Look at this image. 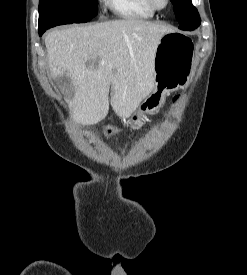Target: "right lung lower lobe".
<instances>
[{
	"label": "right lung lower lobe",
	"mask_w": 247,
	"mask_h": 275,
	"mask_svg": "<svg viewBox=\"0 0 247 275\" xmlns=\"http://www.w3.org/2000/svg\"><path fill=\"white\" fill-rule=\"evenodd\" d=\"M46 29L44 28H39V35L41 36L44 32H45Z\"/></svg>",
	"instance_id": "right-lung-lower-lobe-1"
}]
</instances>
